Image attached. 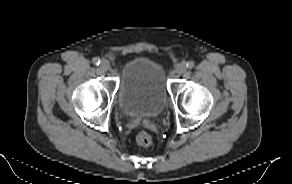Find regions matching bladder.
Here are the masks:
<instances>
[{
	"label": "bladder",
	"mask_w": 292,
	"mask_h": 184,
	"mask_svg": "<svg viewBox=\"0 0 292 184\" xmlns=\"http://www.w3.org/2000/svg\"><path fill=\"white\" fill-rule=\"evenodd\" d=\"M118 105L130 117L159 115L168 101L166 74L156 61L137 57L123 68L118 87Z\"/></svg>",
	"instance_id": "31cf9c89"
}]
</instances>
